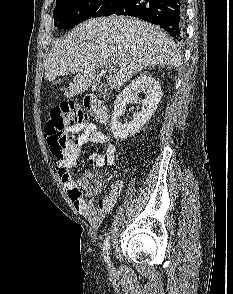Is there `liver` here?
<instances>
[{"mask_svg": "<svg viewBox=\"0 0 233 294\" xmlns=\"http://www.w3.org/2000/svg\"><path fill=\"white\" fill-rule=\"evenodd\" d=\"M182 63L174 41L159 27L134 18L115 16L85 21L58 41L45 62V78L75 74L67 98L87 91L103 65L114 69L107 77L111 88H121L147 67Z\"/></svg>", "mask_w": 233, "mask_h": 294, "instance_id": "6515ba94", "label": "liver"}]
</instances>
